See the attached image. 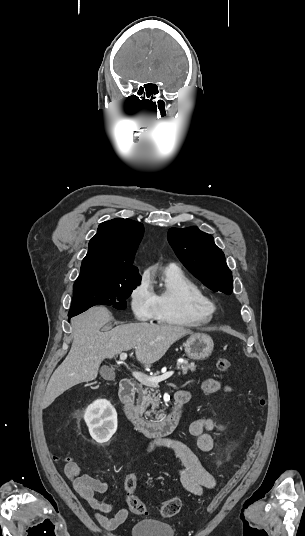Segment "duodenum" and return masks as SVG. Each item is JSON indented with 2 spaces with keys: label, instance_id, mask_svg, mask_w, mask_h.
<instances>
[{
  "label": "duodenum",
  "instance_id": "obj_1",
  "mask_svg": "<svg viewBox=\"0 0 305 536\" xmlns=\"http://www.w3.org/2000/svg\"><path fill=\"white\" fill-rule=\"evenodd\" d=\"M119 398L126 420L138 432L153 438L165 436L175 429L181 412V406L186 402L185 396L178 392L175 395L172 410L159 421L149 422L134 408L135 383L133 380L129 378L122 380Z\"/></svg>",
  "mask_w": 305,
  "mask_h": 536
}]
</instances>
